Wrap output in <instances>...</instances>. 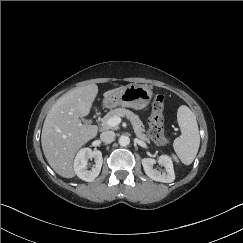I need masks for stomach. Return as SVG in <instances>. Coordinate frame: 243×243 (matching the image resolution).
<instances>
[{
    "label": "stomach",
    "mask_w": 243,
    "mask_h": 243,
    "mask_svg": "<svg viewBox=\"0 0 243 243\" xmlns=\"http://www.w3.org/2000/svg\"><path fill=\"white\" fill-rule=\"evenodd\" d=\"M152 97L153 91L149 85L129 84L112 96L105 98L104 104L109 108L122 106L142 110L149 105Z\"/></svg>",
    "instance_id": "stomach-1"
}]
</instances>
